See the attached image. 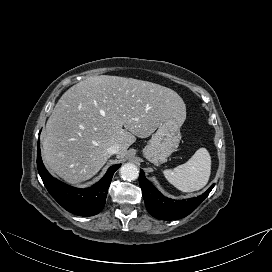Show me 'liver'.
Returning a JSON list of instances; mask_svg holds the SVG:
<instances>
[{"label": "liver", "instance_id": "obj_1", "mask_svg": "<svg viewBox=\"0 0 272 272\" xmlns=\"http://www.w3.org/2000/svg\"><path fill=\"white\" fill-rule=\"evenodd\" d=\"M182 125L183 99L172 89L119 76H92L69 88L59 99L42 139L46 167L70 184L92 178L119 145L124 158L136 137H149L166 119ZM124 127V128H123Z\"/></svg>", "mask_w": 272, "mask_h": 272}]
</instances>
